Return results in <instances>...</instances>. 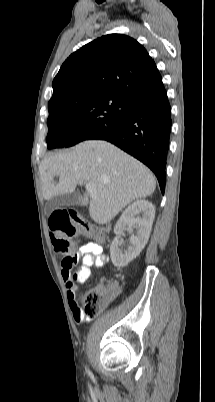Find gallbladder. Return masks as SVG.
I'll return each mask as SVG.
<instances>
[{
    "label": "gallbladder",
    "instance_id": "obj_1",
    "mask_svg": "<svg viewBox=\"0 0 215 402\" xmlns=\"http://www.w3.org/2000/svg\"><path fill=\"white\" fill-rule=\"evenodd\" d=\"M83 202L82 196L78 192L59 194L54 196L47 204H46V212L51 214L53 211L60 207L64 206H72V205H80Z\"/></svg>",
    "mask_w": 215,
    "mask_h": 402
}]
</instances>
